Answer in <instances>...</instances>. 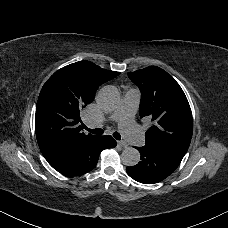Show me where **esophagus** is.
<instances>
[{"instance_id": "esophagus-1", "label": "esophagus", "mask_w": 228, "mask_h": 228, "mask_svg": "<svg viewBox=\"0 0 228 228\" xmlns=\"http://www.w3.org/2000/svg\"><path fill=\"white\" fill-rule=\"evenodd\" d=\"M117 144L123 148H126L128 146L127 143L124 141H118Z\"/></svg>"}]
</instances>
